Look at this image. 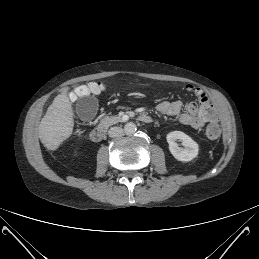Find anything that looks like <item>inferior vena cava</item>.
<instances>
[{
    "instance_id": "1",
    "label": "inferior vena cava",
    "mask_w": 259,
    "mask_h": 259,
    "mask_svg": "<svg viewBox=\"0 0 259 259\" xmlns=\"http://www.w3.org/2000/svg\"><path fill=\"white\" fill-rule=\"evenodd\" d=\"M124 133L123 129L121 127H111L108 131V135L110 137H120Z\"/></svg>"
}]
</instances>
